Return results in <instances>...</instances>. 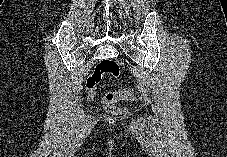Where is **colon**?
I'll use <instances>...</instances> for the list:
<instances>
[{"label":"colon","instance_id":"obj_1","mask_svg":"<svg viewBox=\"0 0 227 157\" xmlns=\"http://www.w3.org/2000/svg\"><path fill=\"white\" fill-rule=\"evenodd\" d=\"M105 75H110L113 78H117L119 76V67L117 63L112 60H101L98 62L93 73L86 80V89L90 99L94 98L95 89L102 77ZM123 100H136L135 91L130 88H122L115 91H110L102 98V105L108 113L117 114L122 110L116 106V103Z\"/></svg>","mask_w":227,"mask_h":157}]
</instances>
